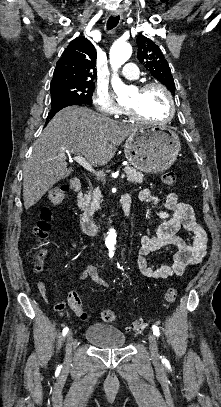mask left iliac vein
<instances>
[{
    "mask_svg": "<svg viewBox=\"0 0 221 407\" xmlns=\"http://www.w3.org/2000/svg\"><path fill=\"white\" fill-rule=\"evenodd\" d=\"M148 340H149V349H150L151 356L154 360H157L159 358V352H158L156 338L152 332H149Z\"/></svg>",
    "mask_w": 221,
    "mask_h": 407,
    "instance_id": "1",
    "label": "left iliac vein"
}]
</instances>
